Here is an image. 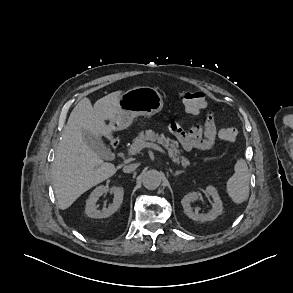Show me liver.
<instances>
[{
	"mask_svg": "<svg viewBox=\"0 0 293 293\" xmlns=\"http://www.w3.org/2000/svg\"><path fill=\"white\" fill-rule=\"evenodd\" d=\"M117 91L97 100L92 106L83 98L72 110L58 143L52 164V181L58 206L69 208L90 188L113 176L119 166L103 162L85 142L83 131L100 138L109 133L105 120L119 113Z\"/></svg>",
	"mask_w": 293,
	"mask_h": 293,
	"instance_id": "1",
	"label": "liver"
}]
</instances>
